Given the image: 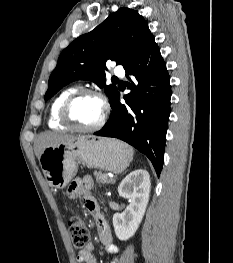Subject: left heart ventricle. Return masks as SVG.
Returning a JSON list of instances; mask_svg holds the SVG:
<instances>
[{
	"label": "left heart ventricle",
	"mask_w": 233,
	"mask_h": 263,
	"mask_svg": "<svg viewBox=\"0 0 233 263\" xmlns=\"http://www.w3.org/2000/svg\"><path fill=\"white\" fill-rule=\"evenodd\" d=\"M102 111V104L98 99L84 97L74 103L71 116L78 125L91 127L100 120Z\"/></svg>",
	"instance_id": "b2bd125f"
}]
</instances>
